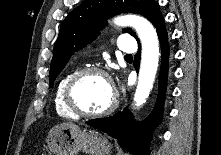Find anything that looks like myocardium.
<instances>
[{"mask_svg":"<svg viewBox=\"0 0 221 155\" xmlns=\"http://www.w3.org/2000/svg\"><path fill=\"white\" fill-rule=\"evenodd\" d=\"M93 74L104 76L109 81H111L109 74L104 69H102L100 67L92 66V67H85V68H82V69L76 71L69 78V80L67 81V83L65 85L64 92H63L64 103H65L66 107L77 116L86 117V118H100V117H104V116L111 114L118 106V102H119L118 92L115 88H114V95H113V99H112L111 103L105 109H103L99 112L85 111L76 103V101L74 99V90H75L77 84L84 77H86L88 75H93Z\"/></svg>","mask_w":221,"mask_h":155,"instance_id":"f54148a6","label":"myocardium"}]
</instances>
